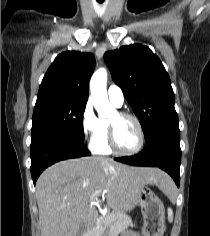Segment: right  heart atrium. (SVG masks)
Instances as JSON below:
<instances>
[{
	"label": "right heart atrium",
	"instance_id": "d8ad5b80",
	"mask_svg": "<svg viewBox=\"0 0 210 236\" xmlns=\"http://www.w3.org/2000/svg\"><path fill=\"white\" fill-rule=\"evenodd\" d=\"M81 130L84 138L90 143L101 133L102 122L96 115L91 100H88L83 108L81 114Z\"/></svg>",
	"mask_w": 210,
	"mask_h": 236
}]
</instances>
